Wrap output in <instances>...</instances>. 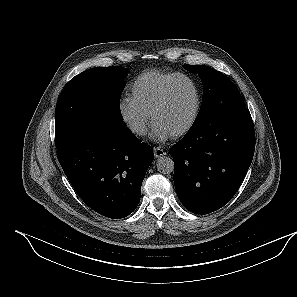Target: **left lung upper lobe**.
<instances>
[{"label":"left lung upper lobe","instance_id":"left-lung-upper-lobe-1","mask_svg":"<svg viewBox=\"0 0 297 297\" xmlns=\"http://www.w3.org/2000/svg\"><path fill=\"white\" fill-rule=\"evenodd\" d=\"M202 80L204 93L202 107L191 129L209 124L230 110L245 107L240 92L223 73L203 65H183Z\"/></svg>","mask_w":297,"mask_h":297}]
</instances>
